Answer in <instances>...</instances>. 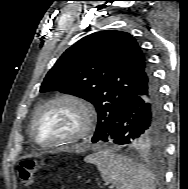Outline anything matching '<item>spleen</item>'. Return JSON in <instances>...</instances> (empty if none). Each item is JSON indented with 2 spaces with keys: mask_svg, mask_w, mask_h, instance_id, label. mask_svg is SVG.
I'll use <instances>...</instances> for the list:
<instances>
[{
  "mask_svg": "<svg viewBox=\"0 0 188 189\" xmlns=\"http://www.w3.org/2000/svg\"><path fill=\"white\" fill-rule=\"evenodd\" d=\"M85 162L95 164L103 180L116 189H155L152 173L125 156L101 150L87 156Z\"/></svg>",
  "mask_w": 188,
  "mask_h": 189,
  "instance_id": "obj_1",
  "label": "spleen"
}]
</instances>
